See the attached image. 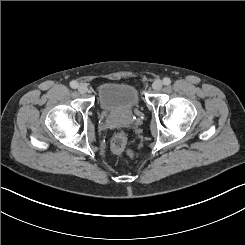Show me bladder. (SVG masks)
I'll return each instance as SVG.
<instances>
[{
	"mask_svg": "<svg viewBox=\"0 0 245 245\" xmlns=\"http://www.w3.org/2000/svg\"><path fill=\"white\" fill-rule=\"evenodd\" d=\"M98 96L107 109L132 111L140 106L138 92L131 85L104 84L99 87Z\"/></svg>",
	"mask_w": 245,
	"mask_h": 245,
	"instance_id": "bladder-1",
	"label": "bladder"
}]
</instances>
